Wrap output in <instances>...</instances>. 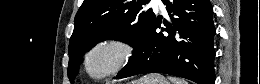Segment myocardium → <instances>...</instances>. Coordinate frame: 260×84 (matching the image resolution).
Instances as JSON below:
<instances>
[{
  "instance_id": "f54148a6",
  "label": "myocardium",
  "mask_w": 260,
  "mask_h": 84,
  "mask_svg": "<svg viewBox=\"0 0 260 84\" xmlns=\"http://www.w3.org/2000/svg\"><path fill=\"white\" fill-rule=\"evenodd\" d=\"M100 53L109 56V63L102 71H96L93 61ZM135 54L134 44L127 38L109 35L96 40L85 51L82 58V70L93 81H103L117 76L131 62Z\"/></svg>"
}]
</instances>
